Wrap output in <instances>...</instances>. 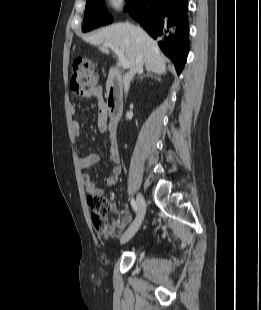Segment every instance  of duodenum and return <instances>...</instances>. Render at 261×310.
I'll return each instance as SVG.
<instances>
[{"label":"duodenum","mask_w":261,"mask_h":310,"mask_svg":"<svg viewBox=\"0 0 261 310\" xmlns=\"http://www.w3.org/2000/svg\"><path fill=\"white\" fill-rule=\"evenodd\" d=\"M123 79L116 67H111L107 81L106 107L110 120V128L116 132L117 123L121 114Z\"/></svg>","instance_id":"duodenum-1"}]
</instances>
